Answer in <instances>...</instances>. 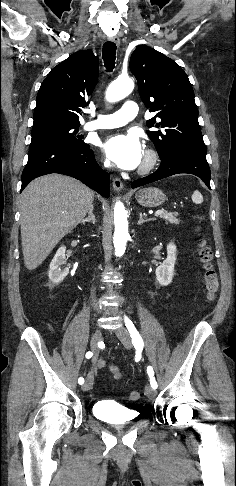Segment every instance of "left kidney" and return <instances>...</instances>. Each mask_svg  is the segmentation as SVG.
<instances>
[{
  "instance_id": "1",
  "label": "left kidney",
  "mask_w": 236,
  "mask_h": 486,
  "mask_svg": "<svg viewBox=\"0 0 236 486\" xmlns=\"http://www.w3.org/2000/svg\"><path fill=\"white\" fill-rule=\"evenodd\" d=\"M176 246L173 243L167 245V258L156 268V279L162 286H168L174 276V265L176 262Z\"/></svg>"
}]
</instances>
